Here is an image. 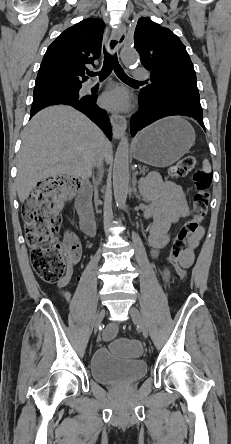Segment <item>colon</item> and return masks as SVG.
<instances>
[{
    "label": "colon",
    "mask_w": 231,
    "mask_h": 444,
    "mask_svg": "<svg viewBox=\"0 0 231 444\" xmlns=\"http://www.w3.org/2000/svg\"><path fill=\"white\" fill-rule=\"evenodd\" d=\"M195 166L196 157L186 155L170 167L169 175L174 179L186 177L195 170ZM193 181V215L180 226L169 250V260L180 279L187 275V267L181 261L187 242L197 232L209 205L210 175L197 170ZM80 185V180L76 178L54 176L41 181L27 201L24 225L31 262L36 274L47 283L59 282L78 260L75 254L60 243L56 234L61 225L60 209ZM112 348L137 353L140 351V344L120 338L112 343Z\"/></svg>",
    "instance_id": "5ec220e1"
}]
</instances>
